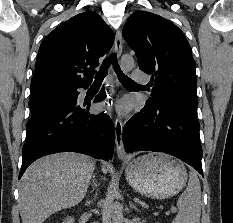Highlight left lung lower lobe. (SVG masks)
<instances>
[{
  "label": "left lung lower lobe",
  "instance_id": "left-lung-lower-lobe-1",
  "mask_svg": "<svg viewBox=\"0 0 233 223\" xmlns=\"http://www.w3.org/2000/svg\"><path fill=\"white\" fill-rule=\"evenodd\" d=\"M196 112L191 107L145 106L123 128L126 152H165L191 165L203 176Z\"/></svg>",
  "mask_w": 233,
  "mask_h": 223
}]
</instances>
